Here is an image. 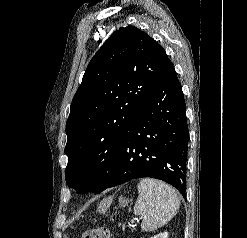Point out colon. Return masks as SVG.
<instances>
[{
    "label": "colon",
    "instance_id": "5ec220e1",
    "mask_svg": "<svg viewBox=\"0 0 247 238\" xmlns=\"http://www.w3.org/2000/svg\"><path fill=\"white\" fill-rule=\"evenodd\" d=\"M82 238H112V234L107 228L98 227L87 230Z\"/></svg>",
    "mask_w": 247,
    "mask_h": 238
}]
</instances>
